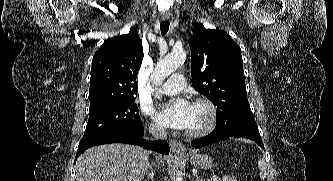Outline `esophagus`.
I'll list each match as a JSON object with an SVG mask.
<instances>
[{
	"mask_svg": "<svg viewBox=\"0 0 333 181\" xmlns=\"http://www.w3.org/2000/svg\"><path fill=\"white\" fill-rule=\"evenodd\" d=\"M163 20H166V18H163ZM169 145H170L172 151L175 154H178V155H184V154H186V148H185V146L181 142H178V141H175V140H171L169 142Z\"/></svg>",
	"mask_w": 333,
	"mask_h": 181,
	"instance_id": "esophagus-1",
	"label": "esophagus"
}]
</instances>
